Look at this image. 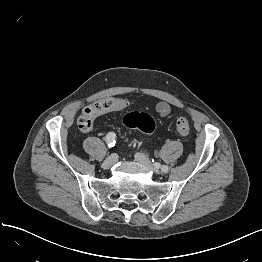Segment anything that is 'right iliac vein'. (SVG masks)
<instances>
[{
    "label": "right iliac vein",
    "instance_id": "obj_1",
    "mask_svg": "<svg viewBox=\"0 0 262 262\" xmlns=\"http://www.w3.org/2000/svg\"><path fill=\"white\" fill-rule=\"evenodd\" d=\"M116 160H117L116 154L110 155V156L102 163L103 169H109V168H111V167L114 165V163L116 162Z\"/></svg>",
    "mask_w": 262,
    "mask_h": 262
}]
</instances>
